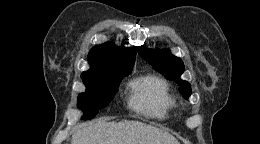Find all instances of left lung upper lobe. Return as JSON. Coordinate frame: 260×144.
Wrapping results in <instances>:
<instances>
[{"instance_id":"left-lung-upper-lobe-1","label":"left lung upper lobe","mask_w":260,"mask_h":144,"mask_svg":"<svg viewBox=\"0 0 260 144\" xmlns=\"http://www.w3.org/2000/svg\"><path fill=\"white\" fill-rule=\"evenodd\" d=\"M138 53L167 79L178 83L181 86L180 93L185 98H189L191 86L180 78L184 72V64L180 58L172 55L169 50L147 49L143 46L138 47Z\"/></svg>"}]
</instances>
